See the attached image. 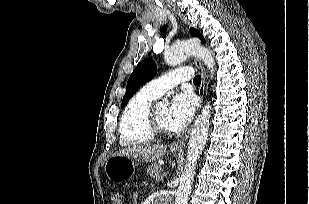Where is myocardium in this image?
Masks as SVG:
<instances>
[{
  "instance_id": "obj_1",
  "label": "myocardium",
  "mask_w": 309,
  "mask_h": 204,
  "mask_svg": "<svg viewBox=\"0 0 309 204\" xmlns=\"http://www.w3.org/2000/svg\"><path fill=\"white\" fill-rule=\"evenodd\" d=\"M155 106H150L147 117H146V123L148 125V128L154 135H167L171 133L170 129H167L163 127L157 118Z\"/></svg>"
}]
</instances>
